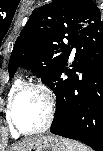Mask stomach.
Here are the masks:
<instances>
[{"label": "stomach", "mask_w": 103, "mask_h": 151, "mask_svg": "<svg viewBox=\"0 0 103 151\" xmlns=\"http://www.w3.org/2000/svg\"><path fill=\"white\" fill-rule=\"evenodd\" d=\"M26 151H67L62 138L53 135L38 136Z\"/></svg>", "instance_id": "obj_1"}]
</instances>
